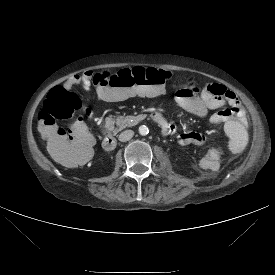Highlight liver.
<instances>
[{
    "label": "liver",
    "instance_id": "1",
    "mask_svg": "<svg viewBox=\"0 0 275 275\" xmlns=\"http://www.w3.org/2000/svg\"><path fill=\"white\" fill-rule=\"evenodd\" d=\"M38 131L41 134V137L44 138L43 120H40L38 123Z\"/></svg>",
    "mask_w": 275,
    "mask_h": 275
}]
</instances>
